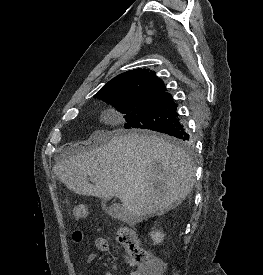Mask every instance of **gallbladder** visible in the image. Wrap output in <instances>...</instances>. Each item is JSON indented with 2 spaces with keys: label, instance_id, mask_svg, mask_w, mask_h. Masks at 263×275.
Listing matches in <instances>:
<instances>
[{
  "label": "gallbladder",
  "instance_id": "gallbladder-1",
  "mask_svg": "<svg viewBox=\"0 0 263 275\" xmlns=\"http://www.w3.org/2000/svg\"><path fill=\"white\" fill-rule=\"evenodd\" d=\"M109 214H111L112 216L116 217V218H120L123 217L122 215V211L120 210V207L116 204L112 205L111 207H109L108 211Z\"/></svg>",
  "mask_w": 263,
  "mask_h": 275
}]
</instances>
